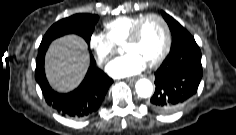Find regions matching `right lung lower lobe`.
I'll use <instances>...</instances> for the list:
<instances>
[{"label":"right lung lower lobe","mask_w":236,"mask_h":135,"mask_svg":"<svg viewBox=\"0 0 236 135\" xmlns=\"http://www.w3.org/2000/svg\"><path fill=\"white\" fill-rule=\"evenodd\" d=\"M46 50H39L35 79L41 87L47 104L60 114L72 118H83L96 112L113 80L102 70L95 67L96 62L91 55V66L80 86L70 93L59 94L49 86L45 76L44 58Z\"/></svg>","instance_id":"98d812e1"}]
</instances>
